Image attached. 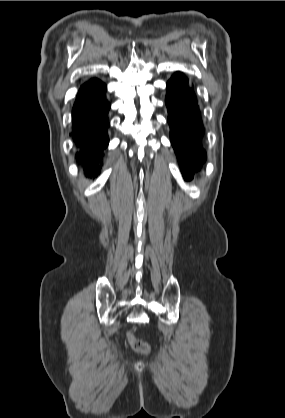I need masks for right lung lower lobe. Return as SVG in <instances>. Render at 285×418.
<instances>
[{"mask_svg":"<svg viewBox=\"0 0 285 418\" xmlns=\"http://www.w3.org/2000/svg\"><path fill=\"white\" fill-rule=\"evenodd\" d=\"M106 89L100 80L90 79L79 88L72 108L71 136L77 148L76 160L88 177L100 173V161L109 143L110 103L106 100Z\"/></svg>","mask_w":285,"mask_h":418,"instance_id":"obj_1","label":"right lung lower lobe"}]
</instances>
